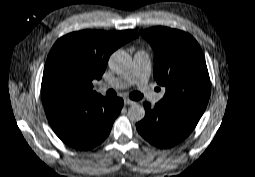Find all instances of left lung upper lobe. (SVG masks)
Here are the masks:
<instances>
[{"mask_svg":"<svg viewBox=\"0 0 255 177\" xmlns=\"http://www.w3.org/2000/svg\"><path fill=\"white\" fill-rule=\"evenodd\" d=\"M154 49V78L166 86L164 100L206 107L210 79L204 55L189 34L166 27L140 31Z\"/></svg>","mask_w":255,"mask_h":177,"instance_id":"left-lung-upper-lobe-1","label":"left lung upper lobe"}]
</instances>
